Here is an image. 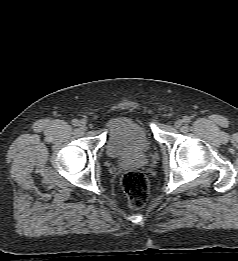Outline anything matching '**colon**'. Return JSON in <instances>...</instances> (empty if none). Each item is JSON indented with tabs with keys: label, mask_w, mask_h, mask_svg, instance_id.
<instances>
[{
	"label": "colon",
	"mask_w": 238,
	"mask_h": 261,
	"mask_svg": "<svg viewBox=\"0 0 238 261\" xmlns=\"http://www.w3.org/2000/svg\"><path fill=\"white\" fill-rule=\"evenodd\" d=\"M122 187L131 207L140 208L147 201L149 194L148 182L141 171H127L122 177Z\"/></svg>",
	"instance_id": "5ec220e1"
}]
</instances>
